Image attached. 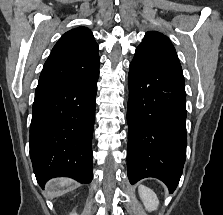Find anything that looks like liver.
<instances>
[{
  "label": "liver",
  "mask_w": 223,
  "mask_h": 215,
  "mask_svg": "<svg viewBox=\"0 0 223 215\" xmlns=\"http://www.w3.org/2000/svg\"><path fill=\"white\" fill-rule=\"evenodd\" d=\"M56 185H60V187H63V185H71V181L67 179V177H59L58 181H56Z\"/></svg>",
  "instance_id": "obj_1"
}]
</instances>
